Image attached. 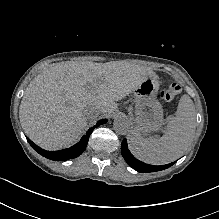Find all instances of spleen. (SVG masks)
<instances>
[{
  "instance_id": "obj_1",
  "label": "spleen",
  "mask_w": 219,
  "mask_h": 219,
  "mask_svg": "<svg viewBox=\"0 0 219 219\" xmlns=\"http://www.w3.org/2000/svg\"><path fill=\"white\" fill-rule=\"evenodd\" d=\"M196 129V112L188 95L180 98L174 117L167 124L161 138H143L135 129L129 141V149L139 160L152 165H163L181 157L193 141Z\"/></svg>"
}]
</instances>
